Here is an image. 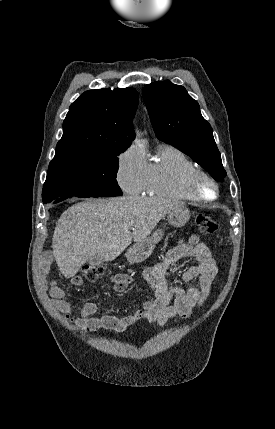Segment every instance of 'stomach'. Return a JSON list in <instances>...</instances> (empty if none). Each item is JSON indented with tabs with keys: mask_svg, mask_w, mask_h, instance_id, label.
<instances>
[{
	"mask_svg": "<svg viewBox=\"0 0 275 429\" xmlns=\"http://www.w3.org/2000/svg\"><path fill=\"white\" fill-rule=\"evenodd\" d=\"M190 218V210L185 206H179L167 215L170 225L174 227L184 226ZM164 231L156 230L151 236L144 240L136 242L126 252L127 260L131 263H139L144 261L153 252L156 244L162 239Z\"/></svg>",
	"mask_w": 275,
	"mask_h": 429,
	"instance_id": "obj_1",
	"label": "stomach"
}]
</instances>
